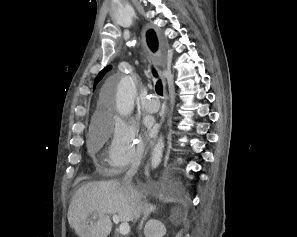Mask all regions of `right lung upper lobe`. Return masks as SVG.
I'll return each instance as SVG.
<instances>
[{
	"mask_svg": "<svg viewBox=\"0 0 297 237\" xmlns=\"http://www.w3.org/2000/svg\"><path fill=\"white\" fill-rule=\"evenodd\" d=\"M147 42L150 48H152L153 51H155L158 47V40L156 37V33L153 30H149L147 32ZM111 69V66H107L104 68L96 77L94 81V86L97 85V83L103 78V76Z\"/></svg>",
	"mask_w": 297,
	"mask_h": 237,
	"instance_id": "obj_1",
	"label": "right lung upper lobe"
}]
</instances>
